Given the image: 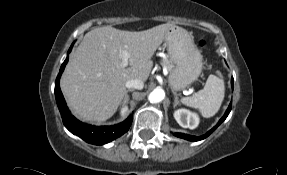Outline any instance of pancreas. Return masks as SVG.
<instances>
[{"instance_id":"cf45deb5","label":"pancreas","mask_w":287,"mask_h":175,"mask_svg":"<svg viewBox=\"0 0 287 175\" xmlns=\"http://www.w3.org/2000/svg\"><path fill=\"white\" fill-rule=\"evenodd\" d=\"M160 63H161V65H162L163 67H166L167 70H171L172 67H173V64H172L171 61H170L169 59H167V58L162 59Z\"/></svg>"}]
</instances>
